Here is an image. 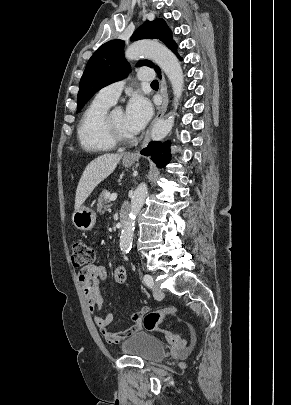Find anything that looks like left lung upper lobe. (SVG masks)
I'll return each instance as SVG.
<instances>
[{
    "instance_id": "obj_1",
    "label": "left lung upper lobe",
    "mask_w": 291,
    "mask_h": 405,
    "mask_svg": "<svg viewBox=\"0 0 291 405\" xmlns=\"http://www.w3.org/2000/svg\"><path fill=\"white\" fill-rule=\"evenodd\" d=\"M159 39L169 49L175 44L172 33L163 19L146 21L132 35L131 40ZM138 66L154 67L151 61L143 60ZM158 67L155 66V69ZM130 65L124 58V41L112 40L100 46L89 59L80 80L77 97V112L101 88L125 78Z\"/></svg>"
}]
</instances>
